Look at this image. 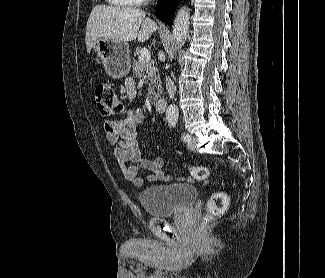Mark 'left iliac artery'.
Instances as JSON below:
<instances>
[{
    "label": "left iliac artery",
    "mask_w": 325,
    "mask_h": 278,
    "mask_svg": "<svg viewBox=\"0 0 325 278\" xmlns=\"http://www.w3.org/2000/svg\"><path fill=\"white\" fill-rule=\"evenodd\" d=\"M181 138L184 142H189L191 140V136L188 134H182Z\"/></svg>",
    "instance_id": "1"
}]
</instances>
